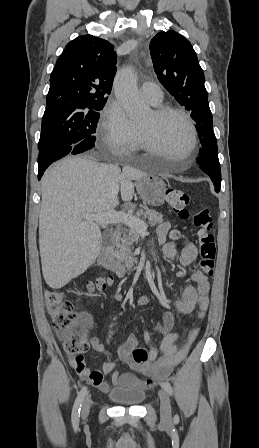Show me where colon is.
I'll return each instance as SVG.
<instances>
[{
    "label": "colon",
    "instance_id": "obj_1",
    "mask_svg": "<svg viewBox=\"0 0 259 448\" xmlns=\"http://www.w3.org/2000/svg\"><path fill=\"white\" fill-rule=\"evenodd\" d=\"M166 200L175 213L182 219L192 220L198 228L200 253L198 269L206 275H212L216 246L211 215L206 209L193 212L189 208V196L178 188H169L166 191ZM110 283L109 279H98L89 284V289L105 290ZM45 304L54 330L63 341L64 349L74 355L85 353L89 347L87 329L91 323L90 316L84 312H77L65 294L59 290H47ZM131 358L135 363H145L148 360V352L135 347L131 351Z\"/></svg>",
    "mask_w": 259,
    "mask_h": 448
}]
</instances>
